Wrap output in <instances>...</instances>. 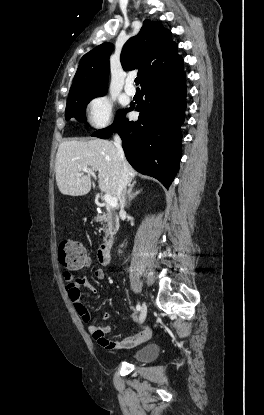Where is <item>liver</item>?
I'll list each match as a JSON object with an SVG mask.
<instances>
[{"label":"liver","mask_w":264,"mask_h":415,"mask_svg":"<svg viewBox=\"0 0 264 415\" xmlns=\"http://www.w3.org/2000/svg\"><path fill=\"white\" fill-rule=\"evenodd\" d=\"M131 181L136 171L125 161ZM98 171L99 188L110 196H117L118 181L123 163L115 145L103 139L71 140L60 143L56 155L55 172L59 191L64 195L82 196L91 190L90 175L82 168ZM80 174V175H78Z\"/></svg>","instance_id":"liver-1"}]
</instances>
